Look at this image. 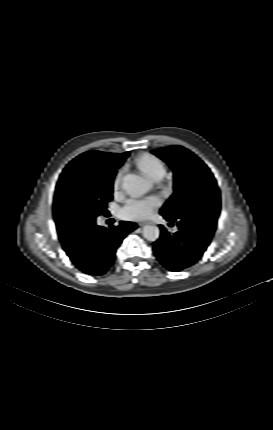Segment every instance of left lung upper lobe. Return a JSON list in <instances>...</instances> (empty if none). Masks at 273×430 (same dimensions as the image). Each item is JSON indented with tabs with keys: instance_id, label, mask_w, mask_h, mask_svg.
<instances>
[{
	"instance_id": "obj_1",
	"label": "left lung upper lobe",
	"mask_w": 273,
	"mask_h": 430,
	"mask_svg": "<svg viewBox=\"0 0 273 430\" xmlns=\"http://www.w3.org/2000/svg\"><path fill=\"white\" fill-rule=\"evenodd\" d=\"M169 164L174 172L175 193L161 213L192 224L212 238L220 213V191L210 169L194 153L182 146H169L152 151ZM202 205L217 207L216 221L210 224L195 220Z\"/></svg>"
}]
</instances>
